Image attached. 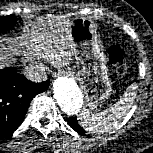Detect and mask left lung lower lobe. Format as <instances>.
I'll list each match as a JSON object with an SVG mask.
<instances>
[{
  "instance_id": "0a47b994",
  "label": "left lung lower lobe",
  "mask_w": 153,
  "mask_h": 153,
  "mask_svg": "<svg viewBox=\"0 0 153 153\" xmlns=\"http://www.w3.org/2000/svg\"><path fill=\"white\" fill-rule=\"evenodd\" d=\"M69 125L79 134L86 136L85 130L78 124L76 117H70L68 119Z\"/></svg>"
}]
</instances>
